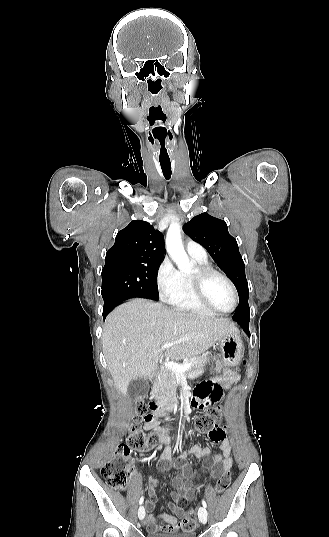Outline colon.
<instances>
[{
	"label": "colon",
	"instance_id": "obj_1",
	"mask_svg": "<svg viewBox=\"0 0 329 537\" xmlns=\"http://www.w3.org/2000/svg\"><path fill=\"white\" fill-rule=\"evenodd\" d=\"M221 419L222 408L213 407L195 420L194 430L200 433H209L212 429L220 431ZM154 420L148 408L140 401L129 425L127 438L119 443L114 455L101 469V475L107 486L111 489L125 490L129 486L132 477L129 455L133 450L137 452L150 451L158 446L165 438V429H155L149 433H146L142 429V422L153 423ZM230 483V472H223L216 483V491L218 493L225 491ZM192 514L193 509H189L181 519L182 531L186 535L195 532L197 523L192 517Z\"/></svg>",
	"mask_w": 329,
	"mask_h": 537
}]
</instances>
